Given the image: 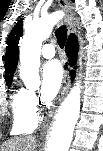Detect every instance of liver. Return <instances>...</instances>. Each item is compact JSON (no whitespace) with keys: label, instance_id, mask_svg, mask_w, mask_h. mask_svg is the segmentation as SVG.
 Returning <instances> with one entry per match:
<instances>
[{"label":"liver","instance_id":"6515ba94","mask_svg":"<svg viewBox=\"0 0 103 151\" xmlns=\"http://www.w3.org/2000/svg\"><path fill=\"white\" fill-rule=\"evenodd\" d=\"M35 136L14 137L0 146V151H36Z\"/></svg>","mask_w":103,"mask_h":151}]
</instances>
